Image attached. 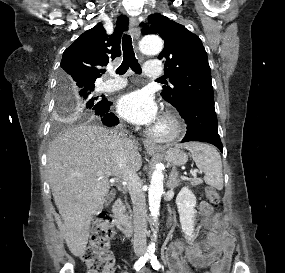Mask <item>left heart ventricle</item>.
I'll return each instance as SVG.
<instances>
[{
  "label": "left heart ventricle",
  "mask_w": 285,
  "mask_h": 273,
  "mask_svg": "<svg viewBox=\"0 0 285 273\" xmlns=\"http://www.w3.org/2000/svg\"><path fill=\"white\" fill-rule=\"evenodd\" d=\"M154 127H156V129L159 130L160 132H163L166 129L165 125L160 124L159 122H157Z\"/></svg>",
  "instance_id": "1"
}]
</instances>
